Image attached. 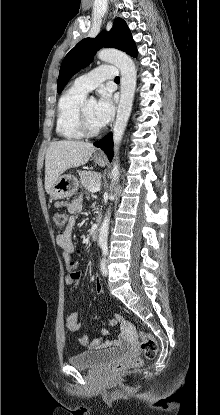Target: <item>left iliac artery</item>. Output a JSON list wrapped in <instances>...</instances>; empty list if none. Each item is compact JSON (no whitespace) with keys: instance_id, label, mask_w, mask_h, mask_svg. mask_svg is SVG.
<instances>
[{"instance_id":"1","label":"left iliac artery","mask_w":220,"mask_h":415,"mask_svg":"<svg viewBox=\"0 0 220 415\" xmlns=\"http://www.w3.org/2000/svg\"><path fill=\"white\" fill-rule=\"evenodd\" d=\"M101 248H102V253H103V255H104V256H106V255L108 254V247H107V244H102V245H101Z\"/></svg>"}]
</instances>
